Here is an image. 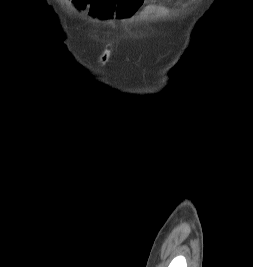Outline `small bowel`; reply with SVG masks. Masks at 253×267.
Instances as JSON below:
<instances>
[{
  "label": "small bowel",
  "instance_id": "1",
  "mask_svg": "<svg viewBox=\"0 0 253 267\" xmlns=\"http://www.w3.org/2000/svg\"><path fill=\"white\" fill-rule=\"evenodd\" d=\"M149 0H73L77 8H87L89 13L103 21L130 17L141 10L146 16L153 12H163V6L147 3Z\"/></svg>",
  "mask_w": 253,
  "mask_h": 267
}]
</instances>
